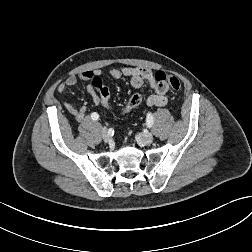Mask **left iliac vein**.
<instances>
[{
    "instance_id": "4c4485c4",
    "label": "left iliac vein",
    "mask_w": 252,
    "mask_h": 252,
    "mask_svg": "<svg viewBox=\"0 0 252 252\" xmlns=\"http://www.w3.org/2000/svg\"><path fill=\"white\" fill-rule=\"evenodd\" d=\"M136 140L143 145L151 144L153 141V135L150 132L143 133V134H137Z\"/></svg>"
}]
</instances>
